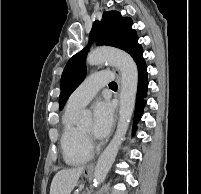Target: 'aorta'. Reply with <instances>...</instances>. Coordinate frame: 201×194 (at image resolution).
Listing matches in <instances>:
<instances>
[{
	"label": "aorta",
	"instance_id": "1",
	"mask_svg": "<svg viewBox=\"0 0 201 194\" xmlns=\"http://www.w3.org/2000/svg\"><path fill=\"white\" fill-rule=\"evenodd\" d=\"M116 66L121 73L120 109L116 132L101 154L95 167L94 185H100L107 176L118 150L125 139V135L133 114L138 85V69L132 57L124 51L102 47L91 51L87 56V64ZM80 117L84 121L91 119V112L84 110Z\"/></svg>",
	"mask_w": 201,
	"mask_h": 194
}]
</instances>
